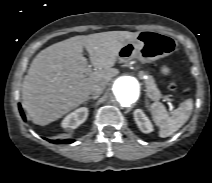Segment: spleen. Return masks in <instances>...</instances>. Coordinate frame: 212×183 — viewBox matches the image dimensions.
I'll return each mask as SVG.
<instances>
[{"mask_svg": "<svg viewBox=\"0 0 212 183\" xmlns=\"http://www.w3.org/2000/svg\"><path fill=\"white\" fill-rule=\"evenodd\" d=\"M192 109L193 101L187 99L179 105L172 116H169L162 103L154 102L150 110L154 123L160 128L159 136L165 138L175 133L187 122Z\"/></svg>", "mask_w": 212, "mask_h": 183, "instance_id": "3e777b00", "label": "spleen"}]
</instances>
